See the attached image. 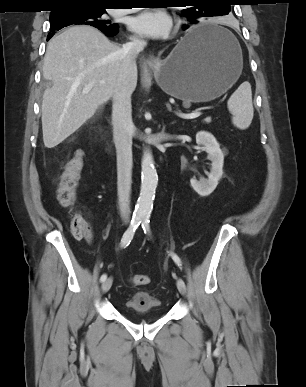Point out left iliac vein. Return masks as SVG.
Segmentation results:
<instances>
[{
  "mask_svg": "<svg viewBox=\"0 0 306 387\" xmlns=\"http://www.w3.org/2000/svg\"><path fill=\"white\" fill-rule=\"evenodd\" d=\"M177 288H178L179 292L182 295H185V293H186V285H185V282L181 278H179L177 280Z\"/></svg>",
  "mask_w": 306,
  "mask_h": 387,
  "instance_id": "obj_1",
  "label": "left iliac vein"
}]
</instances>
